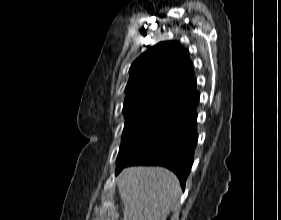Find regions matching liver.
<instances>
[{
    "label": "liver",
    "mask_w": 281,
    "mask_h": 220,
    "mask_svg": "<svg viewBox=\"0 0 281 220\" xmlns=\"http://www.w3.org/2000/svg\"><path fill=\"white\" fill-rule=\"evenodd\" d=\"M122 220H166L181 194L177 176L164 167H127L118 177Z\"/></svg>",
    "instance_id": "1"
}]
</instances>
